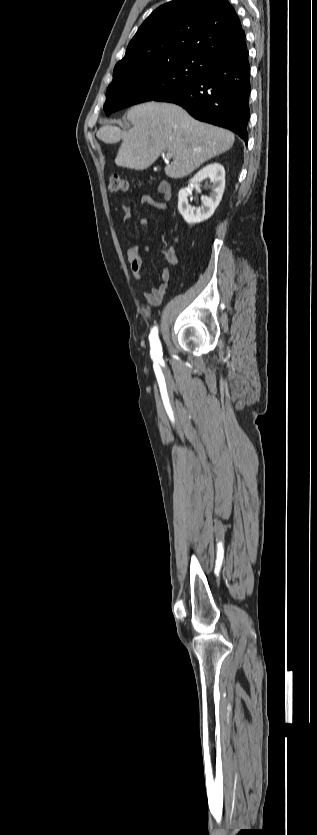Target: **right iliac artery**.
<instances>
[{"instance_id": "right-iliac-artery-1", "label": "right iliac artery", "mask_w": 317, "mask_h": 835, "mask_svg": "<svg viewBox=\"0 0 317 835\" xmlns=\"http://www.w3.org/2000/svg\"><path fill=\"white\" fill-rule=\"evenodd\" d=\"M151 344V357L153 360H158L162 356L161 343L158 337V329L154 327L149 335Z\"/></svg>"}]
</instances>
